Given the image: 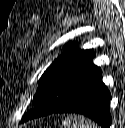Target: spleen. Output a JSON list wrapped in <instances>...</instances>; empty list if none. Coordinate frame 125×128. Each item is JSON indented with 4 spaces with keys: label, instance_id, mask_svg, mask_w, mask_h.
I'll return each mask as SVG.
<instances>
[{
    "label": "spleen",
    "instance_id": "1",
    "mask_svg": "<svg viewBox=\"0 0 125 128\" xmlns=\"http://www.w3.org/2000/svg\"><path fill=\"white\" fill-rule=\"evenodd\" d=\"M64 128H98L91 120L82 116L70 115L62 123Z\"/></svg>",
    "mask_w": 125,
    "mask_h": 128
}]
</instances>
